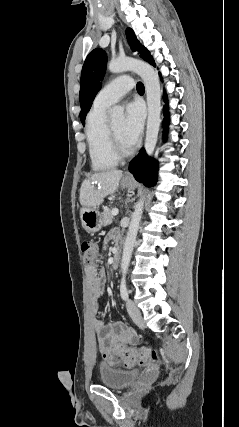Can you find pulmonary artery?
I'll list each match as a JSON object with an SVG mask.
<instances>
[{"label": "pulmonary artery", "mask_w": 239, "mask_h": 427, "mask_svg": "<svg viewBox=\"0 0 239 427\" xmlns=\"http://www.w3.org/2000/svg\"><path fill=\"white\" fill-rule=\"evenodd\" d=\"M133 88V82L129 76H120L104 86L97 94L94 104L110 106L118 102Z\"/></svg>", "instance_id": "1"}]
</instances>
